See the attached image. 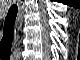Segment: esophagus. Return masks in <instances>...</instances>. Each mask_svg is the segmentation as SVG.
Segmentation results:
<instances>
[{
	"mask_svg": "<svg viewBox=\"0 0 80 60\" xmlns=\"http://www.w3.org/2000/svg\"><path fill=\"white\" fill-rule=\"evenodd\" d=\"M24 11H25L24 2L18 1V15L15 23V28H14V41H13L14 46L16 45L19 39V33L21 31L22 24H23Z\"/></svg>",
	"mask_w": 80,
	"mask_h": 60,
	"instance_id": "34e87169",
	"label": "esophagus"
}]
</instances>
